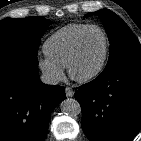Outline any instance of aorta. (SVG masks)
<instances>
[{
    "mask_svg": "<svg viewBox=\"0 0 141 141\" xmlns=\"http://www.w3.org/2000/svg\"><path fill=\"white\" fill-rule=\"evenodd\" d=\"M60 109L62 112L69 116H76L81 113V106L76 99L67 98L60 104Z\"/></svg>",
    "mask_w": 141,
    "mask_h": 141,
    "instance_id": "obj_1",
    "label": "aorta"
}]
</instances>
